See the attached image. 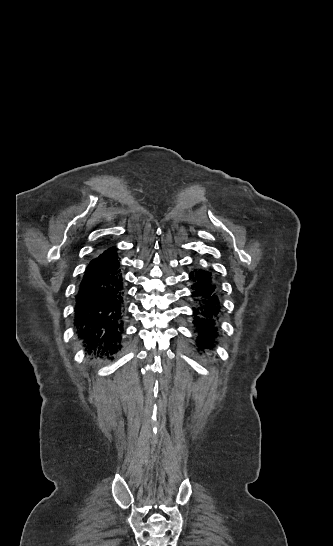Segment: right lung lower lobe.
Listing matches in <instances>:
<instances>
[{"label":"right lung lower lobe","instance_id":"right-lung-lower-lobe-1","mask_svg":"<svg viewBox=\"0 0 333 546\" xmlns=\"http://www.w3.org/2000/svg\"><path fill=\"white\" fill-rule=\"evenodd\" d=\"M124 303V281L112 247L88 264L75 297L74 328L89 354H113L121 349Z\"/></svg>","mask_w":333,"mask_h":546}]
</instances>
